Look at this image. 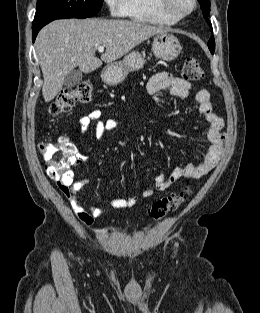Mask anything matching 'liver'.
<instances>
[{
    "label": "liver",
    "mask_w": 260,
    "mask_h": 313,
    "mask_svg": "<svg viewBox=\"0 0 260 313\" xmlns=\"http://www.w3.org/2000/svg\"><path fill=\"white\" fill-rule=\"evenodd\" d=\"M169 29L137 21L62 19L46 25L38 34L35 50L43 73L42 95L50 102L61 91L65 76L75 67L84 73L111 63L146 39ZM99 46L106 48L101 59Z\"/></svg>",
    "instance_id": "obj_1"
}]
</instances>
